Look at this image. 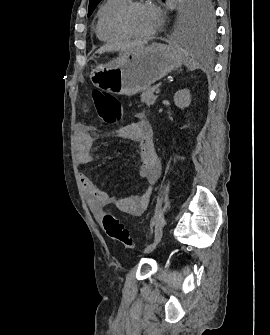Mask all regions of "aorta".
Instances as JSON below:
<instances>
[{"label":"aorta","instance_id":"762f6f07","mask_svg":"<svg viewBox=\"0 0 270 335\" xmlns=\"http://www.w3.org/2000/svg\"><path fill=\"white\" fill-rule=\"evenodd\" d=\"M178 2H180V4H183L184 0H178Z\"/></svg>","mask_w":270,"mask_h":335}]
</instances>
